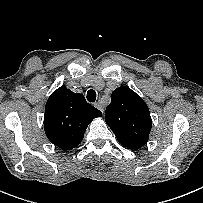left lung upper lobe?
Instances as JSON below:
<instances>
[{"label": "left lung upper lobe", "instance_id": "left-lung-upper-lobe-1", "mask_svg": "<svg viewBox=\"0 0 203 203\" xmlns=\"http://www.w3.org/2000/svg\"><path fill=\"white\" fill-rule=\"evenodd\" d=\"M105 121L123 146L136 150L145 145L152 128L146 103L134 91L121 86L113 91Z\"/></svg>", "mask_w": 203, "mask_h": 203}]
</instances>
